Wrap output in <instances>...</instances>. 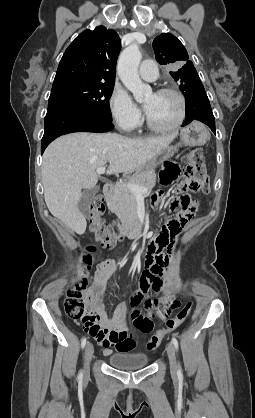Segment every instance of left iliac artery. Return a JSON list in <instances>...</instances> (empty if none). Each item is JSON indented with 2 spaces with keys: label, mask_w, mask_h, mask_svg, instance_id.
I'll list each match as a JSON object with an SVG mask.
<instances>
[{
  "label": "left iliac artery",
  "mask_w": 255,
  "mask_h": 418,
  "mask_svg": "<svg viewBox=\"0 0 255 418\" xmlns=\"http://www.w3.org/2000/svg\"><path fill=\"white\" fill-rule=\"evenodd\" d=\"M172 342H173L176 350H178V341H177V339L175 337H172ZM177 375L180 378L182 377V369H181V366L180 365L178 367Z\"/></svg>",
  "instance_id": "left-iliac-artery-1"
}]
</instances>
